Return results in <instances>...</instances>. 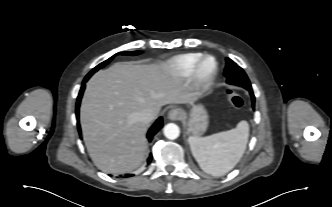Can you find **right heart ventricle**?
<instances>
[{
  "label": "right heart ventricle",
  "instance_id": "1",
  "mask_svg": "<svg viewBox=\"0 0 332 207\" xmlns=\"http://www.w3.org/2000/svg\"><path fill=\"white\" fill-rule=\"evenodd\" d=\"M202 56V53H185L172 57L167 61L166 67L168 71L175 77H186L191 74V71Z\"/></svg>",
  "mask_w": 332,
  "mask_h": 207
}]
</instances>
